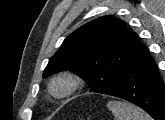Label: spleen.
Returning a JSON list of instances; mask_svg holds the SVG:
<instances>
[{
	"label": "spleen",
	"instance_id": "3e777b00",
	"mask_svg": "<svg viewBox=\"0 0 165 120\" xmlns=\"http://www.w3.org/2000/svg\"><path fill=\"white\" fill-rule=\"evenodd\" d=\"M107 108L115 120H153L145 111L127 102L109 101Z\"/></svg>",
	"mask_w": 165,
	"mask_h": 120
}]
</instances>
